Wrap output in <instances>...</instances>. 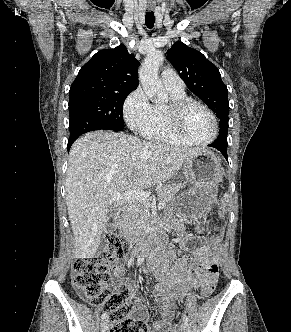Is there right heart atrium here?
I'll use <instances>...</instances> for the list:
<instances>
[{"label":"right heart atrium","instance_id":"d8ad5b80","mask_svg":"<svg viewBox=\"0 0 291 332\" xmlns=\"http://www.w3.org/2000/svg\"><path fill=\"white\" fill-rule=\"evenodd\" d=\"M124 118L128 126L141 132L152 121V106L141 88H136L125 100L123 106Z\"/></svg>","mask_w":291,"mask_h":332}]
</instances>
